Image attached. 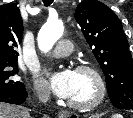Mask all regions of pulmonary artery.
Here are the masks:
<instances>
[{
    "instance_id": "pulmonary-artery-1",
    "label": "pulmonary artery",
    "mask_w": 133,
    "mask_h": 118,
    "mask_svg": "<svg viewBox=\"0 0 133 118\" xmlns=\"http://www.w3.org/2000/svg\"><path fill=\"white\" fill-rule=\"evenodd\" d=\"M72 49V42L66 39H62L58 41L55 49L51 53V56L53 58H63L68 56L71 53Z\"/></svg>"
}]
</instances>
